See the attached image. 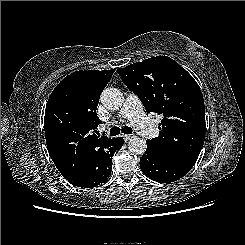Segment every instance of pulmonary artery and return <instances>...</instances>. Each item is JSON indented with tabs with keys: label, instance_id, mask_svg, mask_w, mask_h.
<instances>
[{
	"label": "pulmonary artery",
	"instance_id": "obj_1",
	"mask_svg": "<svg viewBox=\"0 0 245 245\" xmlns=\"http://www.w3.org/2000/svg\"><path fill=\"white\" fill-rule=\"evenodd\" d=\"M120 116L130 119L132 125L142 137L152 139L157 135L156 128L148 120L142 102L136 95L129 94L126 97Z\"/></svg>",
	"mask_w": 245,
	"mask_h": 245
}]
</instances>
